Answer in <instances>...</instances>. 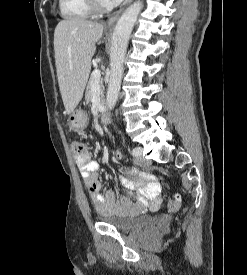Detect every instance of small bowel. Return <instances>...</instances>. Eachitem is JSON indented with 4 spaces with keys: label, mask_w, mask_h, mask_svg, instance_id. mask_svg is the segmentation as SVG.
Listing matches in <instances>:
<instances>
[{
    "label": "small bowel",
    "mask_w": 247,
    "mask_h": 275,
    "mask_svg": "<svg viewBox=\"0 0 247 275\" xmlns=\"http://www.w3.org/2000/svg\"><path fill=\"white\" fill-rule=\"evenodd\" d=\"M77 163L84 183L89 188L90 198L99 213L128 214L143 208L155 210L160 207L161 186L153 174L132 170L129 177H121V183L126 188L137 191V202L133 203L125 195L118 196L111 190L100 191L99 164L90 155L78 157Z\"/></svg>",
    "instance_id": "small-bowel-1"
}]
</instances>
